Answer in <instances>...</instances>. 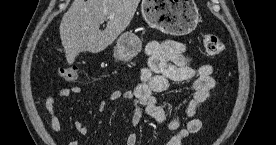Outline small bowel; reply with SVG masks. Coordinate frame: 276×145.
<instances>
[{
	"label": "small bowel",
	"mask_w": 276,
	"mask_h": 145,
	"mask_svg": "<svg viewBox=\"0 0 276 145\" xmlns=\"http://www.w3.org/2000/svg\"><path fill=\"white\" fill-rule=\"evenodd\" d=\"M146 55L147 60L140 70L141 82L133 90H113L108 99L109 101H118L123 98L130 100L134 106L131 117L133 126H137L144 117H150L157 124L175 132L167 145H182L183 140L202 129V122L196 117V113L207 102L216 87L213 66L203 64L194 67L187 55L186 45L173 40L149 42ZM190 79L194 80L192 94L185 109L186 124L181 127L180 118L178 116L168 118L155 94L165 92L171 82ZM80 92L81 89L78 86L62 87L46 98L44 105L50 115L49 128L52 132H58L61 129V121L56 112L57 100ZM106 107V101H101L98 105L101 111ZM74 127L81 136L89 132L88 127L80 120L74 122ZM69 145H79V142L76 140ZM125 145H137V135L130 133Z\"/></svg>",
	"instance_id": "1"
}]
</instances>
